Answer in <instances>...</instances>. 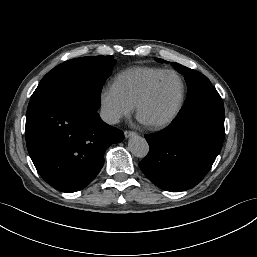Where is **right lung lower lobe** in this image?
<instances>
[{
	"label": "right lung lower lobe",
	"mask_w": 257,
	"mask_h": 257,
	"mask_svg": "<svg viewBox=\"0 0 257 257\" xmlns=\"http://www.w3.org/2000/svg\"><path fill=\"white\" fill-rule=\"evenodd\" d=\"M99 107L79 92L30 99L27 149L38 173L55 189L86 187L103 167L105 150L124 139L122 131L101 120Z\"/></svg>",
	"instance_id": "right-lung-lower-lobe-1"
}]
</instances>
